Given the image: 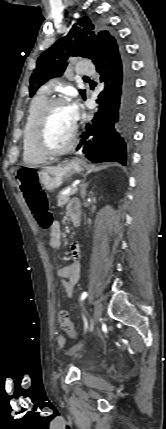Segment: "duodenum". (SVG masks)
Masks as SVG:
<instances>
[{
  "label": "duodenum",
  "instance_id": "410a0bca",
  "mask_svg": "<svg viewBox=\"0 0 166 429\" xmlns=\"http://www.w3.org/2000/svg\"><path fill=\"white\" fill-rule=\"evenodd\" d=\"M71 219H72V222H73V224L75 225V226H78L79 225V223H80V212H78V211H73L72 213H71Z\"/></svg>",
  "mask_w": 166,
  "mask_h": 429
}]
</instances>
